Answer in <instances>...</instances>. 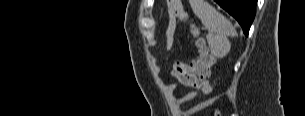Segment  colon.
<instances>
[{"instance_id":"5ec220e1","label":"colon","mask_w":305,"mask_h":116,"mask_svg":"<svg viewBox=\"0 0 305 116\" xmlns=\"http://www.w3.org/2000/svg\"><path fill=\"white\" fill-rule=\"evenodd\" d=\"M167 5L169 11L181 21L189 19L188 12L179 0H167ZM191 32L197 37L198 56L190 63H176L173 68V75L183 85L193 87L203 94L209 95L212 93L209 76L215 58L204 39L200 37L199 29L196 26H192ZM219 115V111L216 110L215 116Z\"/></svg>"}]
</instances>
